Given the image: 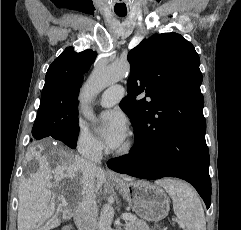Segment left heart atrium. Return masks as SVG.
<instances>
[{
  "label": "left heart atrium",
  "instance_id": "obj_1",
  "mask_svg": "<svg viewBox=\"0 0 241 230\" xmlns=\"http://www.w3.org/2000/svg\"><path fill=\"white\" fill-rule=\"evenodd\" d=\"M127 130V119L120 111H108L102 115L101 135L109 148L120 147L126 139Z\"/></svg>",
  "mask_w": 241,
  "mask_h": 230
}]
</instances>
